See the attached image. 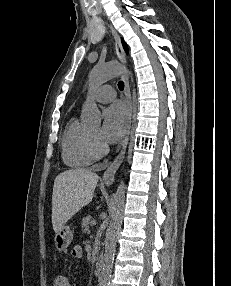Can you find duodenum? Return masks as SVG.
<instances>
[{
	"instance_id": "obj_1",
	"label": "duodenum",
	"mask_w": 231,
	"mask_h": 286,
	"mask_svg": "<svg viewBox=\"0 0 231 286\" xmlns=\"http://www.w3.org/2000/svg\"><path fill=\"white\" fill-rule=\"evenodd\" d=\"M102 268H103V260L102 258H99L96 262V265H95V270H94V273L96 276H100L101 273H102Z\"/></svg>"
}]
</instances>
